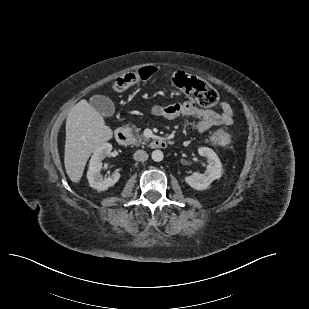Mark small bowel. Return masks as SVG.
<instances>
[{"label": "small bowel", "instance_id": "c3829d8e", "mask_svg": "<svg viewBox=\"0 0 309 309\" xmlns=\"http://www.w3.org/2000/svg\"><path fill=\"white\" fill-rule=\"evenodd\" d=\"M150 112L169 120L179 116L194 117L197 119L195 127L199 132H205L215 126L231 125L234 120L233 109L226 102L220 103L219 111L204 109L193 102L185 101L167 106L154 105L150 107Z\"/></svg>", "mask_w": 309, "mask_h": 309}]
</instances>
